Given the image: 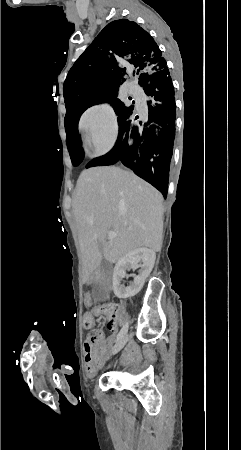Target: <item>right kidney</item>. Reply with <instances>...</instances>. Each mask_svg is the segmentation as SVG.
Listing matches in <instances>:
<instances>
[{"instance_id": "obj_1", "label": "right kidney", "mask_w": 241, "mask_h": 450, "mask_svg": "<svg viewBox=\"0 0 241 450\" xmlns=\"http://www.w3.org/2000/svg\"><path fill=\"white\" fill-rule=\"evenodd\" d=\"M156 254L148 248H136L130 250L123 258L118 260L113 272V290L117 298H132L136 296L144 286L146 278L151 274L155 264ZM140 268L138 276H133L134 282L130 286L121 284L123 278H129L127 270H137Z\"/></svg>"}]
</instances>
